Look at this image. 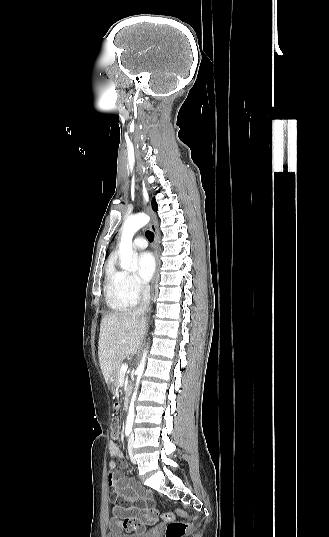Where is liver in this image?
Listing matches in <instances>:
<instances>
[{"mask_svg":"<svg viewBox=\"0 0 329 537\" xmlns=\"http://www.w3.org/2000/svg\"><path fill=\"white\" fill-rule=\"evenodd\" d=\"M143 328L142 314L135 310L103 317L100 325L98 357L106 383L116 374L121 362L137 352Z\"/></svg>","mask_w":329,"mask_h":537,"instance_id":"1","label":"liver"}]
</instances>
